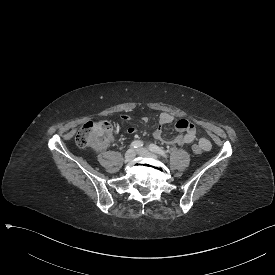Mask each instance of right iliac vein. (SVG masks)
<instances>
[{
	"label": "right iliac vein",
	"mask_w": 275,
	"mask_h": 275,
	"mask_svg": "<svg viewBox=\"0 0 275 275\" xmlns=\"http://www.w3.org/2000/svg\"><path fill=\"white\" fill-rule=\"evenodd\" d=\"M136 156V151L134 149H129L125 154L126 161H132Z\"/></svg>",
	"instance_id": "63e3f726"
}]
</instances>
